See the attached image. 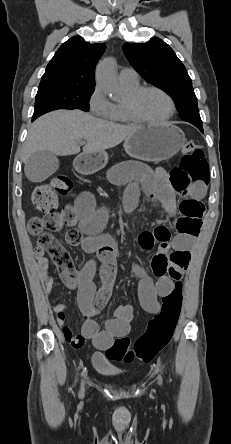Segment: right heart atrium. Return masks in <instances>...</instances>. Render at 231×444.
Here are the masks:
<instances>
[{"label": "right heart atrium", "mask_w": 231, "mask_h": 444, "mask_svg": "<svg viewBox=\"0 0 231 444\" xmlns=\"http://www.w3.org/2000/svg\"><path fill=\"white\" fill-rule=\"evenodd\" d=\"M90 111L98 117L109 118L112 113L113 103L106 96L100 85H96L89 97Z\"/></svg>", "instance_id": "right-heart-atrium-1"}]
</instances>
